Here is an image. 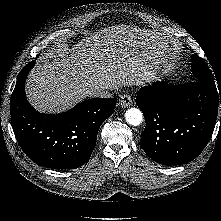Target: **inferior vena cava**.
I'll list each match as a JSON object with an SVG mask.
<instances>
[{
  "mask_svg": "<svg viewBox=\"0 0 221 221\" xmlns=\"http://www.w3.org/2000/svg\"><path fill=\"white\" fill-rule=\"evenodd\" d=\"M89 95L92 97L110 98L112 95L105 88H95L89 91Z\"/></svg>",
  "mask_w": 221,
  "mask_h": 221,
  "instance_id": "1",
  "label": "inferior vena cava"
}]
</instances>
